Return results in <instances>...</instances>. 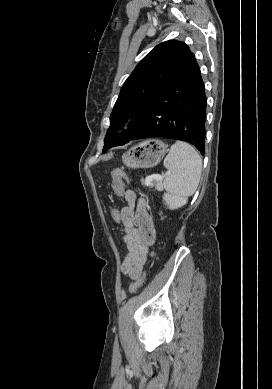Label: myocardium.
<instances>
[{
  "label": "myocardium",
  "mask_w": 272,
  "mask_h": 389,
  "mask_svg": "<svg viewBox=\"0 0 272 389\" xmlns=\"http://www.w3.org/2000/svg\"><path fill=\"white\" fill-rule=\"evenodd\" d=\"M126 129H127V125H126V124H121V125H119V127L116 129V133H117V134H121V133H123Z\"/></svg>",
  "instance_id": "obj_1"
}]
</instances>
